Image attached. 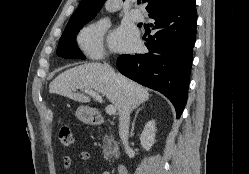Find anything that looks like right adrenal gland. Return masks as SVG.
I'll return each instance as SVG.
<instances>
[{
  "label": "right adrenal gland",
  "instance_id": "obj_1",
  "mask_svg": "<svg viewBox=\"0 0 249 174\" xmlns=\"http://www.w3.org/2000/svg\"><path fill=\"white\" fill-rule=\"evenodd\" d=\"M140 110H141V108L137 109V111L135 113V116H134V119H133V122H132V128H131V132H130V137L133 136V131H134V127H135V121H136L137 115H138Z\"/></svg>",
  "mask_w": 249,
  "mask_h": 174
}]
</instances>
